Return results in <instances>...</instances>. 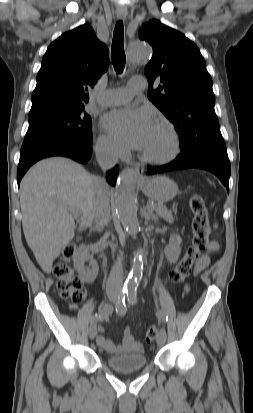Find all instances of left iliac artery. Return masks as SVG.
Returning <instances> with one entry per match:
<instances>
[{
	"label": "left iliac artery",
	"instance_id": "44dca946",
	"mask_svg": "<svg viewBox=\"0 0 253 413\" xmlns=\"http://www.w3.org/2000/svg\"><path fill=\"white\" fill-rule=\"evenodd\" d=\"M127 298H128V302L131 304H135L137 302V290L135 289H130L127 292ZM158 315L163 319L167 321V317H165L162 313L158 312Z\"/></svg>",
	"mask_w": 253,
	"mask_h": 413
}]
</instances>
